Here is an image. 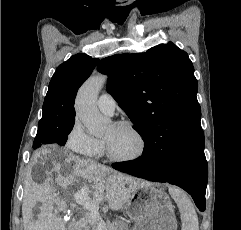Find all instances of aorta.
<instances>
[{"label":"aorta","mask_w":241,"mask_h":230,"mask_svg":"<svg viewBox=\"0 0 241 230\" xmlns=\"http://www.w3.org/2000/svg\"><path fill=\"white\" fill-rule=\"evenodd\" d=\"M106 82L105 75L90 77L80 87L75 100L76 116L88 133L97 137L102 136L110 124V119L101 115L97 107L98 94Z\"/></svg>","instance_id":"1"}]
</instances>
